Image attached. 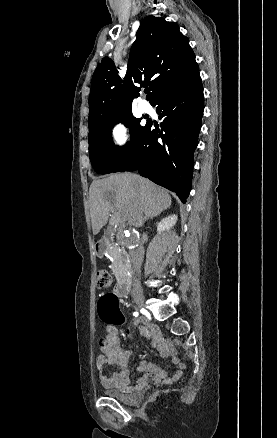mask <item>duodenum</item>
Returning a JSON list of instances; mask_svg holds the SVG:
<instances>
[{
    "label": "duodenum",
    "mask_w": 277,
    "mask_h": 438,
    "mask_svg": "<svg viewBox=\"0 0 277 438\" xmlns=\"http://www.w3.org/2000/svg\"><path fill=\"white\" fill-rule=\"evenodd\" d=\"M111 247V241L109 239H100L95 244V250L98 256L104 255ZM130 290V275L129 272L124 273L118 280L115 293L121 297L128 294Z\"/></svg>",
    "instance_id": "obj_1"
}]
</instances>
